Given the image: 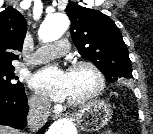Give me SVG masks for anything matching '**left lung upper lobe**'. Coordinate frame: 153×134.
<instances>
[{"mask_svg": "<svg viewBox=\"0 0 153 134\" xmlns=\"http://www.w3.org/2000/svg\"><path fill=\"white\" fill-rule=\"evenodd\" d=\"M71 37L80 55L91 61L108 82L133 78L122 34L113 20L98 10L70 2Z\"/></svg>", "mask_w": 153, "mask_h": 134, "instance_id": "left-lung-upper-lobe-1", "label": "left lung upper lobe"}]
</instances>
